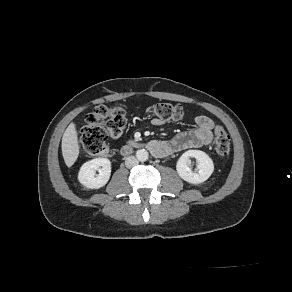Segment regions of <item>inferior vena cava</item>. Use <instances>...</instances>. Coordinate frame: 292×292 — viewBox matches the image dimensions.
<instances>
[{
	"label": "inferior vena cava",
	"mask_w": 292,
	"mask_h": 292,
	"mask_svg": "<svg viewBox=\"0 0 292 292\" xmlns=\"http://www.w3.org/2000/svg\"><path fill=\"white\" fill-rule=\"evenodd\" d=\"M138 164V160L134 156H128L125 160V165L127 168H132Z\"/></svg>",
	"instance_id": "obj_1"
}]
</instances>
